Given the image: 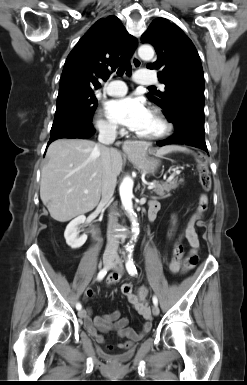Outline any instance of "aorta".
Returning a JSON list of instances; mask_svg holds the SVG:
<instances>
[{"label": "aorta", "mask_w": 247, "mask_h": 385, "mask_svg": "<svg viewBox=\"0 0 247 385\" xmlns=\"http://www.w3.org/2000/svg\"><path fill=\"white\" fill-rule=\"evenodd\" d=\"M138 55L143 60H151L154 57V49L151 45H142L138 49ZM133 180L130 177H125L120 184L119 192L123 207L127 211L132 222L134 232H138V223L136 221V214L133 211ZM131 248V246L129 247Z\"/></svg>", "instance_id": "1"}]
</instances>
